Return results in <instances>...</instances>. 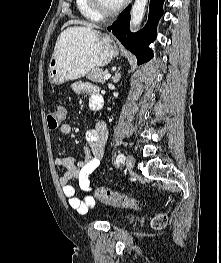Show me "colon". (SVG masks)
<instances>
[{
  "label": "colon",
  "mask_w": 221,
  "mask_h": 263,
  "mask_svg": "<svg viewBox=\"0 0 221 263\" xmlns=\"http://www.w3.org/2000/svg\"><path fill=\"white\" fill-rule=\"evenodd\" d=\"M65 114L66 112L63 106L58 105L51 108L47 115L48 128L50 130H56L60 127L65 118ZM95 195L101 202L114 207L132 210H140L142 208V203L139 200L103 187L96 188ZM166 223L167 216L165 213H158L152 219V226L155 229L163 228Z\"/></svg>",
  "instance_id": "colon-1"
}]
</instances>
